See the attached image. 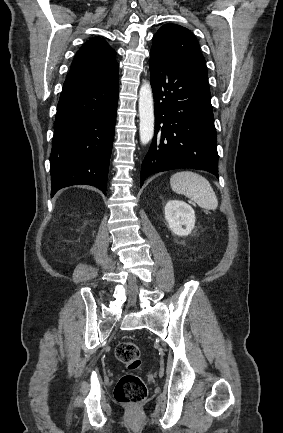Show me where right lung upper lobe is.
Masks as SVG:
<instances>
[{"instance_id": "1", "label": "right lung upper lobe", "mask_w": 283, "mask_h": 433, "mask_svg": "<svg viewBox=\"0 0 283 433\" xmlns=\"http://www.w3.org/2000/svg\"><path fill=\"white\" fill-rule=\"evenodd\" d=\"M115 50L101 37L87 41L77 51L62 91L100 85L118 76Z\"/></svg>"}]
</instances>
